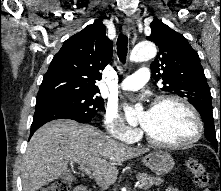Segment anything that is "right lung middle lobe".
Wrapping results in <instances>:
<instances>
[{
    "mask_svg": "<svg viewBox=\"0 0 221 191\" xmlns=\"http://www.w3.org/2000/svg\"><path fill=\"white\" fill-rule=\"evenodd\" d=\"M86 122H90L104 105V100L96 95L75 94L48 99Z\"/></svg>",
    "mask_w": 221,
    "mask_h": 191,
    "instance_id": "1",
    "label": "right lung middle lobe"
}]
</instances>
